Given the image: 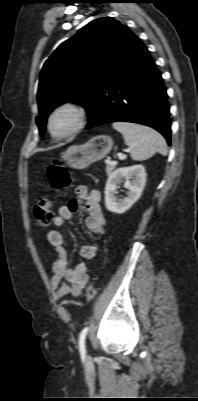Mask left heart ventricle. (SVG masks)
Segmentation results:
<instances>
[{
  "instance_id": "left-heart-ventricle-1",
  "label": "left heart ventricle",
  "mask_w": 198,
  "mask_h": 401,
  "mask_svg": "<svg viewBox=\"0 0 198 401\" xmlns=\"http://www.w3.org/2000/svg\"><path fill=\"white\" fill-rule=\"evenodd\" d=\"M73 117L69 113H61L57 115L52 122L53 132L56 134H62L68 131L73 126Z\"/></svg>"
}]
</instances>
